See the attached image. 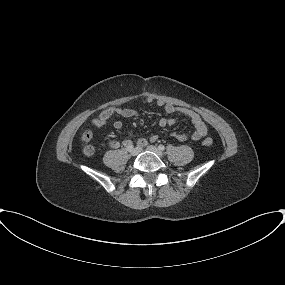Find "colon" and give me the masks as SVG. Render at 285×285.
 <instances>
[{
	"label": "colon",
	"instance_id": "colon-1",
	"mask_svg": "<svg viewBox=\"0 0 285 285\" xmlns=\"http://www.w3.org/2000/svg\"><path fill=\"white\" fill-rule=\"evenodd\" d=\"M92 135H91V132L89 131H86L83 133L82 135V139L84 142L88 143L91 139ZM213 143L212 139L211 138H206L204 141H203V144L207 147L211 146ZM83 152L85 155L87 156H90L93 154V147L89 144H87L84 149H83Z\"/></svg>",
	"mask_w": 285,
	"mask_h": 285
}]
</instances>
